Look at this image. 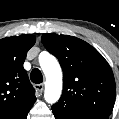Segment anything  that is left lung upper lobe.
<instances>
[{"mask_svg": "<svg viewBox=\"0 0 119 119\" xmlns=\"http://www.w3.org/2000/svg\"><path fill=\"white\" fill-rule=\"evenodd\" d=\"M42 43L63 69V93L53 106L79 113L110 116L115 79L103 56L87 42L69 35L43 34Z\"/></svg>", "mask_w": 119, "mask_h": 119, "instance_id": "left-lung-upper-lobe-1", "label": "left lung upper lobe"}]
</instances>
